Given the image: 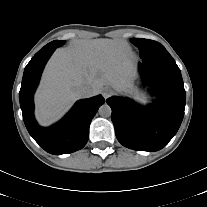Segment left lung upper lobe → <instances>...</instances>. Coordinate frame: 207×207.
<instances>
[{"instance_id": "obj_1", "label": "left lung upper lobe", "mask_w": 207, "mask_h": 207, "mask_svg": "<svg viewBox=\"0 0 207 207\" xmlns=\"http://www.w3.org/2000/svg\"><path fill=\"white\" fill-rule=\"evenodd\" d=\"M130 41L138 47L142 59L171 56L164 46L156 41L143 38H132Z\"/></svg>"}]
</instances>
